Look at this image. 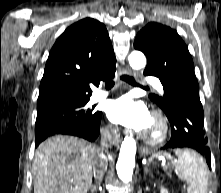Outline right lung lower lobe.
<instances>
[{
	"label": "right lung lower lobe",
	"instance_id": "right-lung-lower-lobe-1",
	"mask_svg": "<svg viewBox=\"0 0 221 193\" xmlns=\"http://www.w3.org/2000/svg\"><path fill=\"white\" fill-rule=\"evenodd\" d=\"M102 112H100L96 124L88 129L83 128H77V127H68L65 129H62L59 132L53 133V134H47L43 136L35 137V146H38L40 142L45 140L47 137L55 135V134H66V135H74L79 136L84 139H87L89 141H95L96 138L99 136V127H100V121H101Z\"/></svg>",
	"mask_w": 221,
	"mask_h": 193
}]
</instances>
